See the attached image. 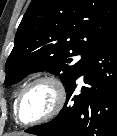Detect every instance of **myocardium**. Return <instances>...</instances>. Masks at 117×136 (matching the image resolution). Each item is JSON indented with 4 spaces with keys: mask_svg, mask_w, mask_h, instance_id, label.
<instances>
[{
    "mask_svg": "<svg viewBox=\"0 0 117 136\" xmlns=\"http://www.w3.org/2000/svg\"><path fill=\"white\" fill-rule=\"evenodd\" d=\"M38 84H46L53 89L54 94H55L54 105H53L52 109L44 116L34 119V120H31V121H23V120H21L20 114H19L21 101H22L24 95L32 87H34ZM65 101H66V88H65L63 81L57 75H54V74L41 75V76L33 79L29 83H27L22 88V90L19 92L17 99H16V103H15V118L19 123H21L23 125H35V124L47 122V121L55 118L60 113V111L62 110V108L65 104Z\"/></svg>",
    "mask_w": 117,
    "mask_h": 136,
    "instance_id": "obj_1",
    "label": "myocardium"
}]
</instances>
